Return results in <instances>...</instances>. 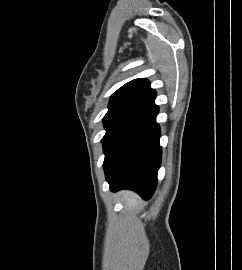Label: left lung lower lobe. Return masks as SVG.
I'll return each instance as SVG.
<instances>
[{
	"mask_svg": "<svg viewBox=\"0 0 242 270\" xmlns=\"http://www.w3.org/2000/svg\"><path fill=\"white\" fill-rule=\"evenodd\" d=\"M155 92L121 118L103 139L106 180L112 191L132 189L149 199L161 164Z\"/></svg>",
	"mask_w": 242,
	"mask_h": 270,
	"instance_id": "0a47b994",
	"label": "left lung lower lobe"
}]
</instances>
